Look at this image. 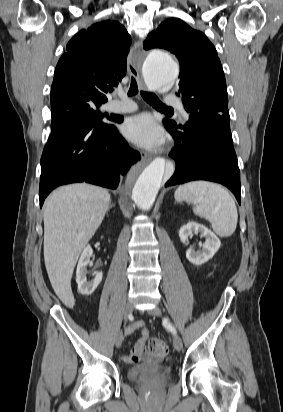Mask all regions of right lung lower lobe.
<instances>
[{"mask_svg":"<svg viewBox=\"0 0 283 412\" xmlns=\"http://www.w3.org/2000/svg\"><path fill=\"white\" fill-rule=\"evenodd\" d=\"M112 122H121L114 116ZM113 123L84 121L74 129L52 131L41 157L40 207L57 186L88 182L115 189L120 176L140 160Z\"/></svg>","mask_w":283,"mask_h":412,"instance_id":"98d812e1","label":"right lung lower lobe"}]
</instances>
